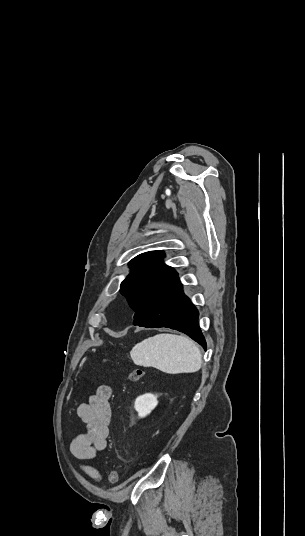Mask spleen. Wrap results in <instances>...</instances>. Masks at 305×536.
<instances>
[{"mask_svg":"<svg viewBox=\"0 0 305 536\" xmlns=\"http://www.w3.org/2000/svg\"><path fill=\"white\" fill-rule=\"evenodd\" d=\"M130 356L136 366L157 368L165 374H192L202 366L198 346L190 338L175 334L147 338L132 348Z\"/></svg>","mask_w":305,"mask_h":536,"instance_id":"obj_1","label":"spleen"}]
</instances>
